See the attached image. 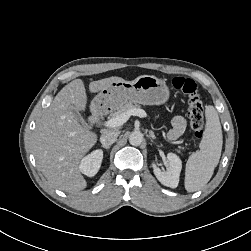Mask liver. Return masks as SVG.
Returning <instances> with one entry per match:
<instances>
[{
    "instance_id": "liver-1",
    "label": "liver",
    "mask_w": 251,
    "mask_h": 251,
    "mask_svg": "<svg viewBox=\"0 0 251 251\" xmlns=\"http://www.w3.org/2000/svg\"><path fill=\"white\" fill-rule=\"evenodd\" d=\"M124 80L109 77L89 84L91 93L112 82ZM87 94L81 79L64 86L38 121L33 136V153L40 171L57 189L77 193L87 183L80 173L82 157L96 144L97 134L83 127L70 111H84Z\"/></svg>"
}]
</instances>
